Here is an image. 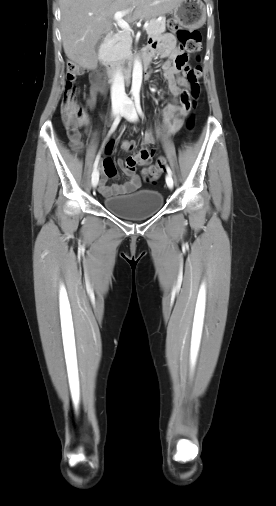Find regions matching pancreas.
<instances>
[{
	"label": "pancreas",
	"mask_w": 276,
	"mask_h": 506,
	"mask_svg": "<svg viewBox=\"0 0 276 506\" xmlns=\"http://www.w3.org/2000/svg\"><path fill=\"white\" fill-rule=\"evenodd\" d=\"M147 34L158 36L165 31V22L157 21L155 19L149 22ZM131 53V37L127 32H121L113 36L112 40L108 43L105 59L110 61H118L127 57Z\"/></svg>",
	"instance_id": "1"
}]
</instances>
